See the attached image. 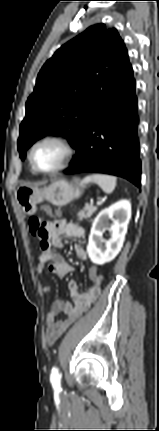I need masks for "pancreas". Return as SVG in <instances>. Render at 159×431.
Listing matches in <instances>:
<instances>
[{"instance_id":"1","label":"pancreas","mask_w":159,"mask_h":431,"mask_svg":"<svg viewBox=\"0 0 159 431\" xmlns=\"http://www.w3.org/2000/svg\"><path fill=\"white\" fill-rule=\"evenodd\" d=\"M97 210V207L92 205H86L83 210L79 213V221L90 218Z\"/></svg>"}]
</instances>
